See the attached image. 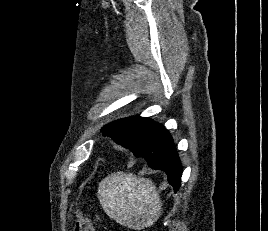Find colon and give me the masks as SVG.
Instances as JSON below:
<instances>
[{
  "label": "colon",
  "instance_id": "obj_1",
  "mask_svg": "<svg viewBox=\"0 0 268 231\" xmlns=\"http://www.w3.org/2000/svg\"><path fill=\"white\" fill-rule=\"evenodd\" d=\"M75 231H95L94 225L86 216L76 213L75 215Z\"/></svg>",
  "mask_w": 268,
  "mask_h": 231
}]
</instances>
